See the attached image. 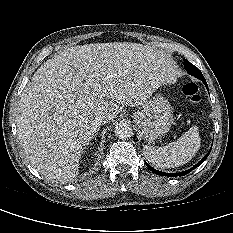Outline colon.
<instances>
[{
	"label": "colon",
	"mask_w": 233,
	"mask_h": 233,
	"mask_svg": "<svg viewBox=\"0 0 233 233\" xmlns=\"http://www.w3.org/2000/svg\"><path fill=\"white\" fill-rule=\"evenodd\" d=\"M182 93L189 99L193 104H198L201 101L198 87L194 83H185L182 86Z\"/></svg>",
	"instance_id": "5ec220e1"
}]
</instances>
